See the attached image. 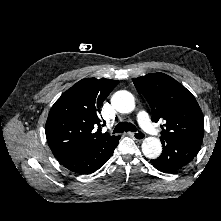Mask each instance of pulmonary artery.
Returning <instances> with one entry per match:
<instances>
[{
    "label": "pulmonary artery",
    "instance_id": "e3ab8cb5",
    "mask_svg": "<svg viewBox=\"0 0 221 221\" xmlns=\"http://www.w3.org/2000/svg\"><path fill=\"white\" fill-rule=\"evenodd\" d=\"M137 122L140 125V127L149 134H156V129L154 128V125L151 123V121L148 118V115L144 111H139L136 116Z\"/></svg>",
    "mask_w": 221,
    "mask_h": 221
}]
</instances>
